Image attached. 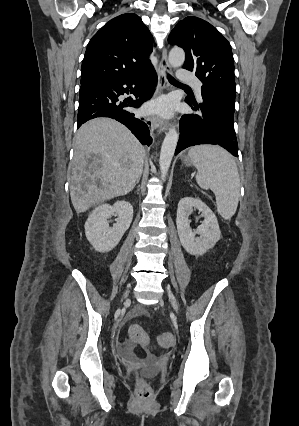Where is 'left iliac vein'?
<instances>
[{"mask_svg":"<svg viewBox=\"0 0 299 426\" xmlns=\"http://www.w3.org/2000/svg\"><path fill=\"white\" fill-rule=\"evenodd\" d=\"M167 293H168V297H169V299H170V302H171V304H172L173 309H174L176 312H178V310H179V306H178V303H177V300H176L175 296L173 295V293L170 291V289H169V288L167 289Z\"/></svg>","mask_w":299,"mask_h":426,"instance_id":"4c4485c4","label":"left iliac vein"}]
</instances>
